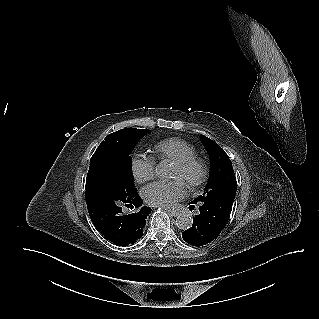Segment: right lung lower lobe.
Segmentation results:
<instances>
[{"label": "right lung lower lobe", "mask_w": 319, "mask_h": 319, "mask_svg": "<svg viewBox=\"0 0 319 319\" xmlns=\"http://www.w3.org/2000/svg\"><path fill=\"white\" fill-rule=\"evenodd\" d=\"M85 198L90 218L96 229L119 246L135 243L142 235L150 207H142L137 190L125 191L120 179L104 175L91 187H86ZM137 208L124 214L122 207Z\"/></svg>", "instance_id": "98d812e1"}]
</instances>
